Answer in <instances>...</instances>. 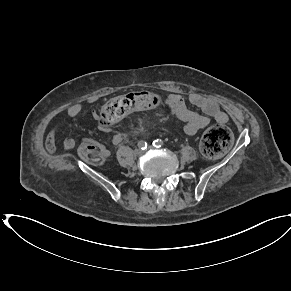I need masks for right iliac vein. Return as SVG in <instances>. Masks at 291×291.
Returning a JSON list of instances; mask_svg holds the SVG:
<instances>
[{"instance_id":"obj_1","label":"right iliac vein","mask_w":291,"mask_h":291,"mask_svg":"<svg viewBox=\"0 0 291 291\" xmlns=\"http://www.w3.org/2000/svg\"><path fill=\"white\" fill-rule=\"evenodd\" d=\"M134 154H135L136 156H139V155L142 154V151H141L140 149H135Z\"/></svg>"}]
</instances>
